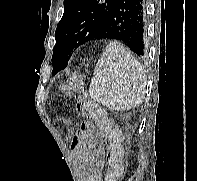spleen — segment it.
I'll use <instances>...</instances> for the list:
<instances>
[{
    "instance_id": "obj_1",
    "label": "spleen",
    "mask_w": 197,
    "mask_h": 181,
    "mask_svg": "<svg viewBox=\"0 0 197 181\" xmlns=\"http://www.w3.org/2000/svg\"><path fill=\"white\" fill-rule=\"evenodd\" d=\"M146 77L141 63L118 42L106 46L89 87L93 100L112 110L137 107L145 98Z\"/></svg>"
}]
</instances>
